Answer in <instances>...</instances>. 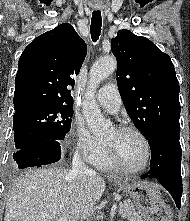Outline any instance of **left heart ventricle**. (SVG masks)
I'll use <instances>...</instances> for the list:
<instances>
[{"label": "left heart ventricle", "instance_id": "b2bd125f", "mask_svg": "<svg viewBox=\"0 0 190 221\" xmlns=\"http://www.w3.org/2000/svg\"><path fill=\"white\" fill-rule=\"evenodd\" d=\"M103 141L111 144L120 161L129 168H139L146 158V150L141 138L133 132H118L111 129Z\"/></svg>", "mask_w": 190, "mask_h": 221}]
</instances>
